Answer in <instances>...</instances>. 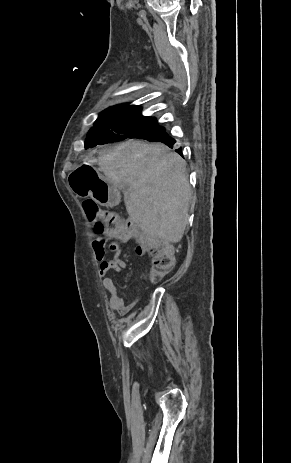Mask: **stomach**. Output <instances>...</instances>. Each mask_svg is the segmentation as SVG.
<instances>
[{"label": "stomach", "instance_id": "obj_1", "mask_svg": "<svg viewBox=\"0 0 291 463\" xmlns=\"http://www.w3.org/2000/svg\"><path fill=\"white\" fill-rule=\"evenodd\" d=\"M69 184L78 196H90L102 206H113L119 200L117 188L87 165L70 174Z\"/></svg>", "mask_w": 291, "mask_h": 463}]
</instances>
